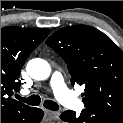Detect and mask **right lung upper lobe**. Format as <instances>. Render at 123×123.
<instances>
[{
  "instance_id": "cb5924a9",
  "label": "right lung upper lobe",
  "mask_w": 123,
  "mask_h": 123,
  "mask_svg": "<svg viewBox=\"0 0 123 123\" xmlns=\"http://www.w3.org/2000/svg\"><path fill=\"white\" fill-rule=\"evenodd\" d=\"M49 33L46 28H1V119L29 107L12 95L20 90L19 75L26 59Z\"/></svg>"
}]
</instances>
